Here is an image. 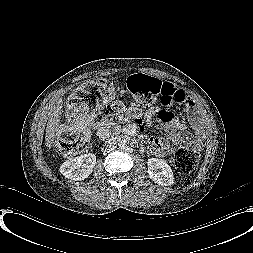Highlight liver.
<instances>
[{
  "mask_svg": "<svg viewBox=\"0 0 253 253\" xmlns=\"http://www.w3.org/2000/svg\"><path fill=\"white\" fill-rule=\"evenodd\" d=\"M62 99L60 98L51 108L50 116L47 122L45 142L46 146L50 149L54 143L55 133L58 131L61 110H62Z\"/></svg>",
  "mask_w": 253,
  "mask_h": 253,
  "instance_id": "1",
  "label": "liver"
}]
</instances>
